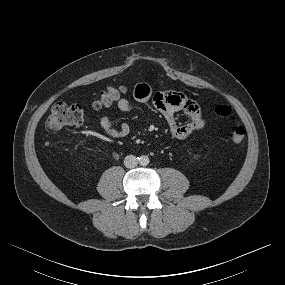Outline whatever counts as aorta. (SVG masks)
<instances>
[{
    "instance_id": "762f6f07",
    "label": "aorta",
    "mask_w": 285,
    "mask_h": 285,
    "mask_svg": "<svg viewBox=\"0 0 285 285\" xmlns=\"http://www.w3.org/2000/svg\"><path fill=\"white\" fill-rule=\"evenodd\" d=\"M139 164L142 166H147L149 164V157L146 155H142L139 157Z\"/></svg>"
}]
</instances>
